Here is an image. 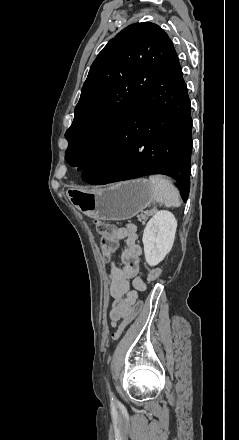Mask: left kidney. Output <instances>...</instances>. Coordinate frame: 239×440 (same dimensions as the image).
I'll use <instances>...</instances> for the list:
<instances>
[{
  "label": "left kidney",
  "mask_w": 239,
  "mask_h": 440,
  "mask_svg": "<svg viewBox=\"0 0 239 440\" xmlns=\"http://www.w3.org/2000/svg\"><path fill=\"white\" fill-rule=\"evenodd\" d=\"M177 220L171 212L161 210L149 220L143 234L145 260L149 266H157L169 254L176 234Z\"/></svg>",
  "instance_id": "1"
}]
</instances>
